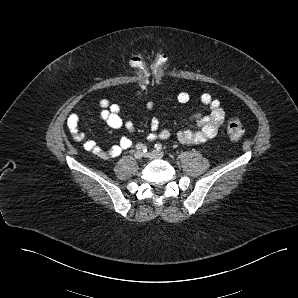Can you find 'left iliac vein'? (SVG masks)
Here are the masks:
<instances>
[{
  "mask_svg": "<svg viewBox=\"0 0 298 298\" xmlns=\"http://www.w3.org/2000/svg\"><path fill=\"white\" fill-rule=\"evenodd\" d=\"M147 157L153 158V159H161L164 157V153L159 150H153L146 154Z\"/></svg>",
  "mask_w": 298,
  "mask_h": 298,
  "instance_id": "left-iliac-vein-1",
  "label": "left iliac vein"
}]
</instances>
